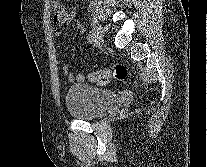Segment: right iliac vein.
I'll list each match as a JSON object with an SVG mask.
<instances>
[{
  "instance_id": "obj_1",
  "label": "right iliac vein",
  "mask_w": 207,
  "mask_h": 167,
  "mask_svg": "<svg viewBox=\"0 0 207 167\" xmlns=\"http://www.w3.org/2000/svg\"><path fill=\"white\" fill-rule=\"evenodd\" d=\"M93 29L95 33L96 45L100 48L102 47L104 41V30L98 18L94 14H93Z\"/></svg>"
}]
</instances>
